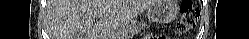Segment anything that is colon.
I'll return each instance as SVG.
<instances>
[{
	"instance_id": "5ec220e1",
	"label": "colon",
	"mask_w": 249,
	"mask_h": 39,
	"mask_svg": "<svg viewBox=\"0 0 249 39\" xmlns=\"http://www.w3.org/2000/svg\"><path fill=\"white\" fill-rule=\"evenodd\" d=\"M199 19V10L191 1H184L180 5V18L176 26L179 35H186L192 31Z\"/></svg>"
}]
</instances>
